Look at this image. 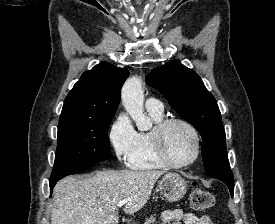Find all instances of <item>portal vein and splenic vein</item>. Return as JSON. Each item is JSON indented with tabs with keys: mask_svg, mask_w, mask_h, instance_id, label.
<instances>
[{
	"mask_svg": "<svg viewBox=\"0 0 275 224\" xmlns=\"http://www.w3.org/2000/svg\"><path fill=\"white\" fill-rule=\"evenodd\" d=\"M126 202L127 201H125V200H121V201L118 202L117 206L118 207H123L126 204Z\"/></svg>",
	"mask_w": 275,
	"mask_h": 224,
	"instance_id": "18ae733b",
	"label": "portal vein and splenic vein"
}]
</instances>
